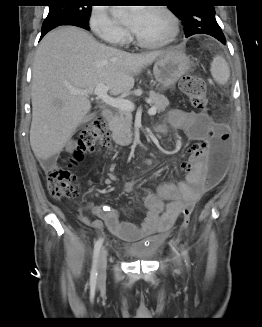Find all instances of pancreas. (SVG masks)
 I'll return each mask as SVG.
<instances>
[{
    "label": "pancreas",
    "mask_w": 262,
    "mask_h": 327,
    "mask_svg": "<svg viewBox=\"0 0 262 327\" xmlns=\"http://www.w3.org/2000/svg\"><path fill=\"white\" fill-rule=\"evenodd\" d=\"M149 97L151 104L156 108L158 113L165 111L166 107L169 106V100L160 93L151 91ZM110 129L113 140L117 144L121 146L130 144L133 136L131 111L118 109L110 122Z\"/></svg>",
    "instance_id": "cf45deb5"
}]
</instances>
